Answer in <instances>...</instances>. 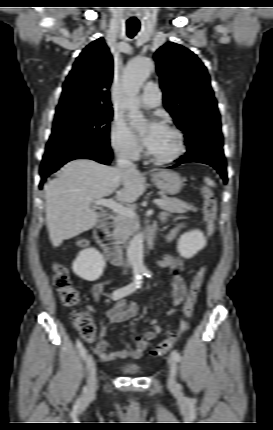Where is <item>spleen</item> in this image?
Instances as JSON below:
<instances>
[{
    "label": "spleen",
    "mask_w": 273,
    "mask_h": 430,
    "mask_svg": "<svg viewBox=\"0 0 273 430\" xmlns=\"http://www.w3.org/2000/svg\"><path fill=\"white\" fill-rule=\"evenodd\" d=\"M205 182L207 183V185H209L211 187H214L216 185L215 182L208 177L205 178Z\"/></svg>",
    "instance_id": "3e777b00"
}]
</instances>
